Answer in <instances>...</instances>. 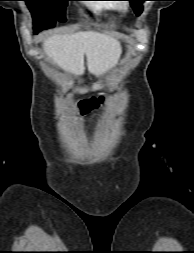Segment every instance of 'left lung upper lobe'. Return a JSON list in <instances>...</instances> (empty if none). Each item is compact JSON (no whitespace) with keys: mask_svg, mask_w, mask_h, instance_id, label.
Returning a JSON list of instances; mask_svg holds the SVG:
<instances>
[{"mask_svg":"<svg viewBox=\"0 0 194 253\" xmlns=\"http://www.w3.org/2000/svg\"><path fill=\"white\" fill-rule=\"evenodd\" d=\"M131 3L132 8L134 9L137 15L142 13V3L149 0H127Z\"/></svg>","mask_w":194,"mask_h":253,"instance_id":"1","label":"left lung upper lobe"}]
</instances>
